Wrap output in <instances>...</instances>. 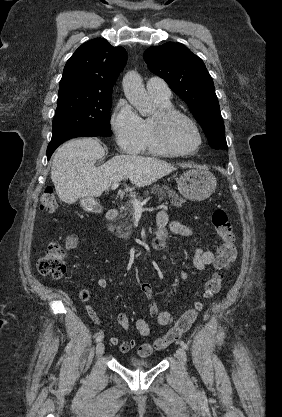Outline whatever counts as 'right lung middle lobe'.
Segmentation results:
<instances>
[{
  "instance_id": "dd1d6c3e",
  "label": "right lung middle lobe",
  "mask_w": 282,
  "mask_h": 417,
  "mask_svg": "<svg viewBox=\"0 0 282 417\" xmlns=\"http://www.w3.org/2000/svg\"><path fill=\"white\" fill-rule=\"evenodd\" d=\"M111 93L96 91L59 93L52 136L71 130L111 136Z\"/></svg>"
}]
</instances>
